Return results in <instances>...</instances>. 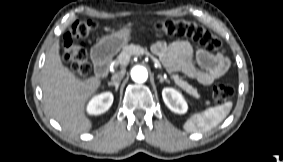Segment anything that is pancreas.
I'll list each match as a JSON object with an SVG mask.
<instances>
[{"label":"pancreas","mask_w":283,"mask_h":162,"mask_svg":"<svg viewBox=\"0 0 283 162\" xmlns=\"http://www.w3.org/2000/svg\"><path fill=\"white\" fill-rule=\"evenodd\" d=\"M144 53H147V49H144L140 47L139 45H127L123 48L121 54L118 57V60L121 62L123 61L126 57H130L132 55H142ZM171 74L172 79L174 80L175 84L179 86L182 90H184L187 94L190 96L199 99L200 95L197 92V89L191 86L188 82L184 81L182 77H180L177 74H172L171 71H169Z\"/></svg>","instance_id":"1"}]
</instances>
